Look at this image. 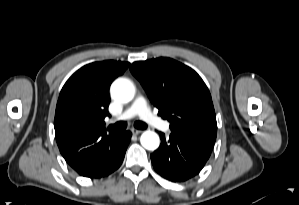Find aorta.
<instances>
[{"label":"aorta","mask_w":299,"mask_h":205,"mask_svg":"<svg viewBox=\"0 0 299 205\" xmlns=\"http://www.w3.org/2000/svg\"><path fill=\"white\" fill-rule=\"evenodd\" d=\"M112 97L120 102L126 103L134 97V86L126 79H117L111 85ZM142 146L147 150H155L159 147V136L153 131H145L140 138Z\"/></svg>","instance_id":"762f6f07"}]
</instances>
